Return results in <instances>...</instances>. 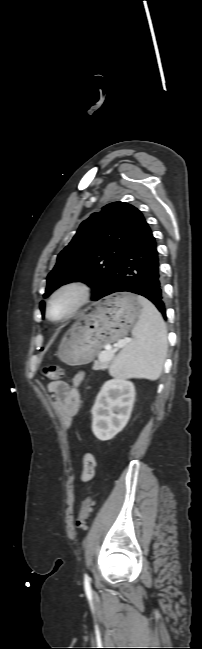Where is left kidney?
I'll use <instances>...</instances> for the list:
<instances>
[{
  "label": "left kidney",
  "instance_id": "1",
  "mask_svg": "<svg viewBox=\"0 0 202 649\" xmlns=\"http://www.w3.org/2000/svg\"><path fill=\"white\" fill-rule=\"evenodd\" d=\"M135 400L131 381L115 377L106 381L92 408V431L99 440L114 438L128 423Z\"/></svg>",
  "mask_w": 202,
  "mask_h": 649
}]
</instances>
